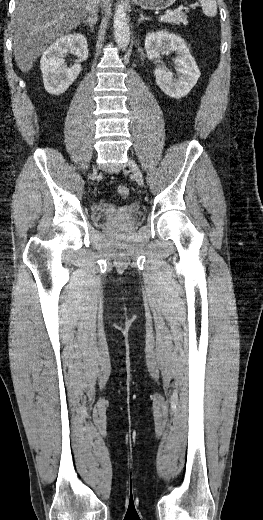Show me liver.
Returning <instances> with one entry per match:
<instances>
[{"mask_svg":"<svg viewBox=\"0 0 263 520\" xmlns=\"http://www.w3.org/2000/svg\"><path fill=\"white\" fill-rule=\"evenodd\" d=\"M89 0H16L12 18L15 61L23 73L50 43L76 28L87 16ZM109 8L110 0H102Z\"/></svg>","mask_w":263,"mask_h":520,"instance_id":"6515ba94","label":"liver"}]
</instances>
